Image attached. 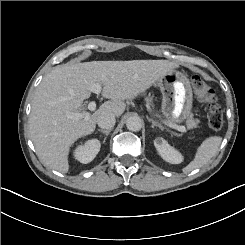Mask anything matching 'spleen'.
Masks as SVG:
<instances>
[{"label": "spleen", "mask_w": 245, "mask_h": 245, "mask_svg": "<svg viewBox=\"0 0 245 245\" xmlns=\"http://www.w3.org/2000/svg\"><path fill=\"white\" fill-rule=\"evenodd\" d=\"M220 142V137L210 138L204 141L195 159L187 167L184 168V172H191L192 170L200 168L208 163L218 150Z\"/></svg>", "instance_id": "obj_1"}]
</instances>
